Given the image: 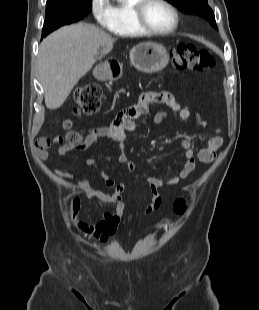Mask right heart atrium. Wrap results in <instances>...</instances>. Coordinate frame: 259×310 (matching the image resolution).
<instances>
[{
	"instance_id": "obj_1",
	"label": "right heart atrium",
	"mask_w": 259,
	"mask_h": 310,
	"mask_svg": "<svg viewBox=\"0 0 259 310\" xmlns=\"http://www.w3.org/2000/svg\"><path fill=\"white\" fill-rule=\"evenodd\" d=\"M90 9L97 24L107 27L111 21V4L109 0H90Z\"/></svg>"
}]
</instances>
